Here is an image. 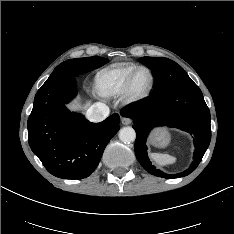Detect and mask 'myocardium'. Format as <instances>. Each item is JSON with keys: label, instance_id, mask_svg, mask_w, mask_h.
I'll return each mask as SVG.
<instances>
[{"label": "myocardium", "instance_id": "myocardium-1", "mask_svg": "<svg viewBox=\"0 0 234 234\" xmlns=\"http://www.w3.org/2000/svg\"><path fill=\"white\" fill-rule=\"evenodd\" d=\"M141 70L148 71L150 74L151 80H150V84H149V87L147 88V90L143 93L137 94V93L133 92L132 87H133V81H134L136 74ZM154 83H155V76H154L153 71L146 66H138L127 78V81L125 83L123 91L120 94L121 101L125 105H132V104H135V103H138V102L144 100L145 98H147L150 95V93L154 87Z\"/></svg>", "mask_w": 234, "mask_h": 234}]
</instances>
